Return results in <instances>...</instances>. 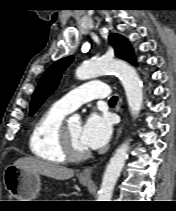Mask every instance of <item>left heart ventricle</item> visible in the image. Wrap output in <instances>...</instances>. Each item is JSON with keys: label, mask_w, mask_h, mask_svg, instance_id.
<instances>
[{"label": "left heart ventricle", "mask_w": 176, "mask_h": 211, "mask_svg": "<svg viewBox=\"0 0 176 211\" xmlns=\"http://www.w3.org/2000/svg\"><path fill=\"white\" fill-rule=\"evenodd\" d=\"M67 130L74 147L78 150H87V148L81 142V124L70 122L67 124Z\"/></svg>", "instance_id": "left-heart-ventricle-1"}]
</instances>
